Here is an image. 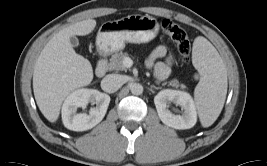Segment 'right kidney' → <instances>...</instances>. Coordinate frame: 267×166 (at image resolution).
<instances>
[{
    "mask_svg": "<svg viewBox=\"0 0 267 166\" xmlns=\"http://www.w3.org/2000/svg\"><path fill=\"white\" fill-rule=\"evenodd\" d=\"M88 103L96 104L89 114H76L79 107ZM110 103V97L94 89H78L72 92L62 106V120L66 128L73 131H85L93 128L104 118Z\"/></svg>",
    "mask_w": 267,
    "mask_h": 166,
    "instance_id": "obj_1",
    "label": "right kidney"
}]
</instances>
